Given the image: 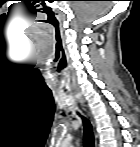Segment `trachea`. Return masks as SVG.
<instances>
[{
    "label": "trachea",
    "instance_id": "1",
    "mask_svg": "<svg viewBox=\"0 0 140 147\" xmlns=\"http://www.w3.org/2000/svg\"><path fill=\"white\" fill-rule=\"evenodd\" d=\"M84 125L83 145L84 147H95L94 135L90 122L85 117H82Z\"/></svg>",
    "mask_w": 140,
    "mask_h": 147
}]
</instances>
